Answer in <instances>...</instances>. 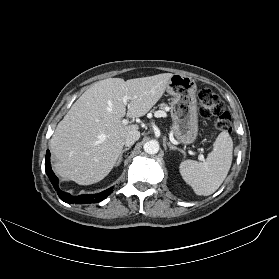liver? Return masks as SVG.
Wrapping results in <instances>:
<instances>
[{"label": "liver", "mask_w": 279, "mask_h": 279, "mask_svg": "<svg viewBox=\"0 0 279 279\" xmlns=\"http://www.w3.org/2000/svg\"><path fill=\"white\" fill-rule=\"evenodd\" d=\"M173 74L129 79L108 78L87 89L57 125L50 140L56 173L80 185L104 179L117 163L127 134L138 125L122 118L144 116L162 97ZM128 101V111L122 101Z\"/></svg>", "instance_id": "obj_1"}]
</instances>
